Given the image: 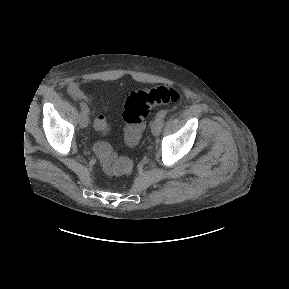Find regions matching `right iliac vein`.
<instances>
[{"instance_id":"63e3f726","label":"right iliac vein","mask_w":289,"mask_h":289,"mask_svg":"<svg viewBox=\"0 0 289 289\" xmlns=\"http://www.w3.org/2000/svg\"><path fill=\"white\" fill-rule=\"evenodd\" d=\"M79 124L82 128H85L88 126L89 124V116L87 113L85 112H81V114L79 115Z\"/></svg>"}]
</instances>
